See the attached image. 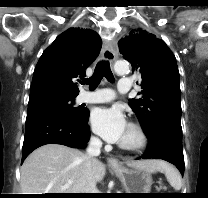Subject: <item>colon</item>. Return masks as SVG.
I'll list each match as a JSON object with an SVG mask.
<instances>
[{
    "label": "colon",
    "instance_id": "1",
    "mask_svg": "<svg viewBox=\"0 0 208 198\" xmlns=\"http://www.w3.org/2000/svg\"><path fill=\"white\" fill-rule=\"evenodd\" d=\"M165 189H166L165 186H160V187L158 188V190H165Z\"/></svg>",
    "mask_w": 208,
    "mask_h": 198
}]
</instances>
